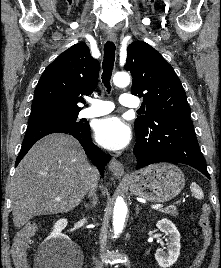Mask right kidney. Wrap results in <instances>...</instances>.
Returning a JSON list of instances; mask_svg holds the SVG:
<instances>
[{
  "label": "right kidney",
  "instance_id": "1",
  "mask_svg": "<svg viewBox=\"0 0 221 268\" xmlns=\"http://www.w3.org/2000/svg\"><path fill=\"white\" fill-rule=\"evenodd\" d=\"M68 224L67 219L58 220L53 227V231L46 238L47 241L52 240H70L68 236L62 234V231L66 228Z\"/></svg>",
  "mask_w": 221,
  "mask_h": 268
}]
</instances>
